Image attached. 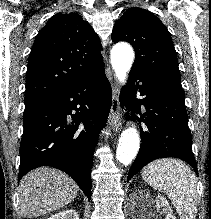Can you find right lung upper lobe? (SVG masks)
I'll list each match as a JSON object with an SVG mask.
<instances>
[{"label": "right lung upper lobe", "mask_w": 211, "mask_h": 219, "mask_svg": "<svg viewBox=\"0 0 211 219\" xmlns=\"http://www.w3.org/2000/svg\"><path fill=\"white\" fill-rule=\"evenodd\" d=\"M101 49L98 35L79 14L54 15L32 46L25 106L43 101L104 67Z\"/></svg>", "instance_id": "obj_1"}]
</instances>
